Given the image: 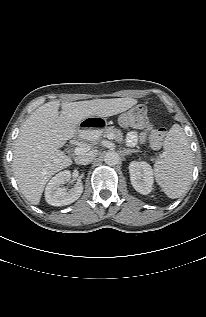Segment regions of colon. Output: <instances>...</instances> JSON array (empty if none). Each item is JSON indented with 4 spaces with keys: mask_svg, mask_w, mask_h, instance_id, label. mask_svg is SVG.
Listing matches in <instances>:
<instances>
[{
    "mask_svg": "<svg viewBox=\"0 0 206 317\" xmlns=\"http://www.w3.org/2000/svg\"><path fill=\"white\" fill-rule=\"evenodd\" d=\"M119 123L123 127L143 128L148 124L147 109L143 105H137L119 117ZM165 129L159 128L152 131L150 135L151 144L159 147L165 136Z\"/></svg>",
    "mask_w": 206,
    "mask_h": 317,
    "instance_id": "5ec220e1",
    "label": "colon"
}]
</instances>
